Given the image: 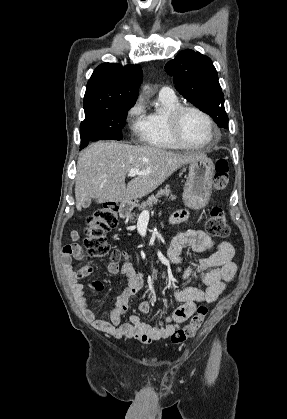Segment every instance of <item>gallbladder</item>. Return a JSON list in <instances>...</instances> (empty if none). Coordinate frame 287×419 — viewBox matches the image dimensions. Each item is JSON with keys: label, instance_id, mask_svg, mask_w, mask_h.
Segmentation results:
<instances>
[{"label": "gallbladder", "instance_id": "1", "mask_svg": "<svg viewBox=\"0 0 287 419\" xmlns=\"http://www.w3.org/2000/svg\"><path fill=\"white\" fill-rule=\"evenodd\" d=\"M90 204H91V199H90V198H88V199H86V200L83 202V204H82V208H83V209H87V208L90 206Z\"/></svg>", "mask_w": 287, "mask_h": 419}]
</instances>
